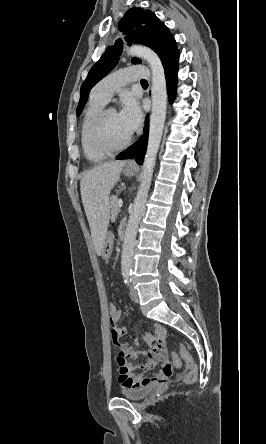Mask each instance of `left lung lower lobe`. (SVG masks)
I'll list each match as a JSON object with an SVG mask.
<instances>
[{"instance_id": "left-lung-lower-lobe-1", "label": "left lung lower lobe", "mask_w": 266, "mask_h": 444, "mask_svg": "<svg viewBox=\"0 0 266 444\" xmlns=\"http://www.w3.org/2000/svg\"><path fill=\"white\" fill-rule=\"evenodd\" d=\"M178 58L179 55L163 65L165 69L168 98L170 102L174 100L176 94L175 88L177 84ZM147 140H148V119H147V126L143 136L138 140L136 144L132 145L130 150H128L126 153L119 154L117 159L123 160V159L136 158L137 163L141 165L143 163L144 155L146 152Z\"/></svg>"}]
</instances>
